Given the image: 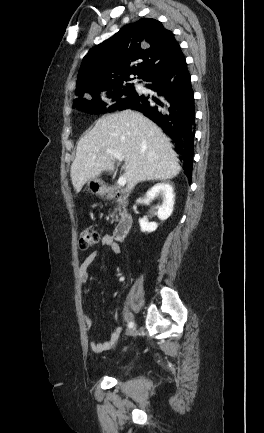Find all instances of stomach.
Instances as JSON below:
<instances>
[{"instance_id":"obj_1","label":"stomach","mask_w":264,"mask_h":433,"mask_svg":"<svg viewBox=\"0 0 264 433\" xmlns=\"http://www.w3.org/2000/svg\"><path fill=\"white\" fill-rule=\"evenodd\" d=\"M88 190L95 195H103L107 192L106 186L103 184V182L98 179L94 178L88 181Z\"/></svg>"}]
</instances>
